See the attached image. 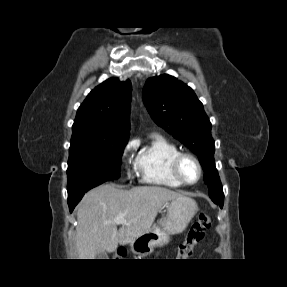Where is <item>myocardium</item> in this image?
I'll return each instance as SVG.
<instances>
[{"instance_id":"myocardium-1","label":"myocardium","mask_w":287,"mask_h":287,"mask_svg":"<svg viewBox=\"0 0 287 287\" xmlns=\"http://www.w3.org/2000/svg\"><path fill=\"white\" fill-rule=\"evenodd\" d=\"M186 159L192 160L195 163V165L197 166V168H198V178L194 182L186 181L184 179L183 175H182L181 166H182V163ZM172 173H173L174 177L182 185H184V186H194L201 180V178L203 176V168H202V165H201L199 159L195 155H193L191 153L181 152L179 155H177L175 157V159L172 162Z\"/></svg>"}]
</instances>
